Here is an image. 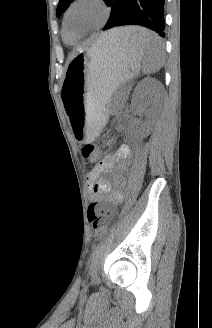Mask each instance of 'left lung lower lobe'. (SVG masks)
I'll use <instances>...</instances> for the list:
<instances>
[{"instance_id": "obj_1", "label": "left lung lower lobe", "mask_w": 212, "mask_h": 328, "mask_svg": "<svg viewBox=\"0 0 212 328\" xmlns=\"http://www.w3.org/2000/svg\"><path fill=\"white\" fill-rule=\"evenodd\" d=\"M164 1L105 0L111 6V15L103 30L122 25H140L165 37Z\"/></svg>"}]
</instances>
